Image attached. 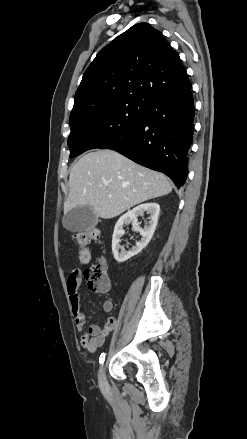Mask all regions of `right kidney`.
Here are the masks:
<instances>
[{
  "instance_id": "right-kidney-1",
  "label": "right kidney",
  "mask_w": 247,
  "mask_h": 439,
  "mask_svg": "<svg viewBox=\"0 0 247 439\" xmlns=\"http://www.w3.org/2000/svg\"><path fill=\"white\" fill-rule=\"evenodd\" d=\"M159 212H160V206L157 203H146V204H141L133 208L132 210H129L127 213H125L119 218V220L115 225L113 237H112V252L117 262L122 263L127 261L131 257L137 255L139 252L142 251L143 248L147 246L156 229ZM144 213L150 215V221L148 222V225H146L144 229H142L139 226L137 217L143 216ZM129 224H132L134 230L138 231L142 236V238L139 242L136 243L135 246L131 248V250L126 251L120 245V241H121V237L125 233L123 227ZM119 249H121V251H119Z\"/></svg>"
}]
</instances>
